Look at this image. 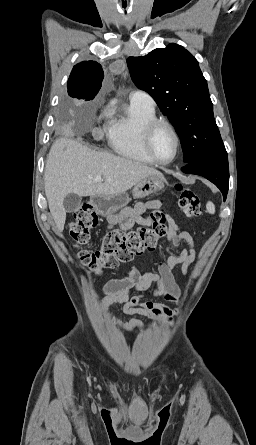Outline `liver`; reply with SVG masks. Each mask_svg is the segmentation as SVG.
I'll return each mask as SVG.
<instances>
[{"label": "liver", "instance_id": "obj_1", "mask_svg": "<svg viewBox=\"0 0 256 445\" xmlns=\"http://www.w3.org/2000/svg\"><path fill=\"white\" fill-rule=\"evenodd\" d=\"M152 175L162 174L139 162L91 150L72 138H58L51 146L44 171L45 194L58 231L64 229L66 211L63 200L66 195L124 194ZM97 176L104 181L96 182Z\"/></svg>", "mask_w": 256, "mask_h": 445}]
</instances>
